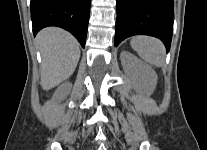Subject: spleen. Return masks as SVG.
<instances>
[{
	"label": "spleen",
	"mask_w": 207,
	"mask_h": 150,
	"mask_svg": "<svg viewBox=\"0 0 207 150\" xmlns=\"http://www.w3.org/2000/svg\"><path fill=\"white\" fill-rule=\"evenodd\" d=\"M130 44L145 62L156 67L164 65L165 48L160 40L148 36H135Z\"/></svg>",
	"instance_id": "3e777b00"
}]
</instances>
